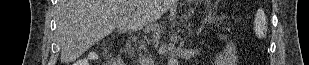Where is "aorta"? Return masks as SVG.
<instances>
[{
	"label": "aorta",
	"instance_id": "aorta-1",
	"mask_svg": "<svg viewBox=\"0 0 309 65\" xmlns=\"http://www.w3.org/2000/svg\"><path fill=\"white\" fill-rule=\"evenodd\" d=\"M178 59H176L175 57H171L168 60V65H178Z\"/></svg>",
	"mask_w": 309,
	"mask_h": 65
}]
</instances>
